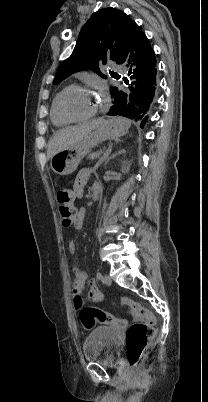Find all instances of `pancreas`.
<instances>
[{
  "label": "pancreas",
  "mask_w": 208,
  "mask_h": 402,
  "mask_svg": "<svg viewBox=\"0 0 208 402\" xmlns=\"http://www.w3.org/2000/svg\"><path fill=\"white\" fill-rule=\"evenodd\" d=\"M101 154H105V150H100V152H94V154H88L89 160H95V158H100Z\"/></svg>",
  "instance_id": "cf45deb5"
}]
</instances>
